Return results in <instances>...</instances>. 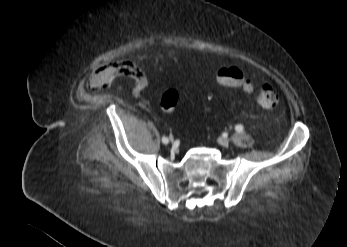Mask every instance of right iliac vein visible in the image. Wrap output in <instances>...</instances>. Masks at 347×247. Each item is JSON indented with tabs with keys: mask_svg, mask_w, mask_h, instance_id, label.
<instances>
[{
	"mask_svg": "<svg viewBox=\"0 0 347 247\" xmlns=\"http://www.w3.org/2000/svg\"><path fill=\"white\" fill-rule=\"evenodd\" d=\"M174 139L171 137V141H173Z\"/></svg>",
	"mask_w": 347,
	"mask_h": 247,
	"instance_id": "obj_1",
	"label": "right iliac vein"
}]
</instances>
